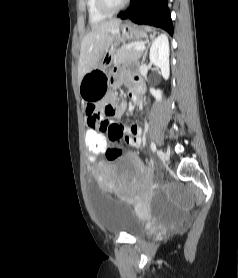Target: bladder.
Here are the masks:
<instances>
[{
    "instance_id": "bladder-1",
    "label": "bladder",
    "mask_w": 238,
    "mask_h": 278,
    "mask_svg": "<svg viewBox=\"0 0 238 278\" xmlns=\"http://www.w3.org/2000/svg\"><path fill=\"white\" fill-rule=\"evenodd\" d=\"M92 205L100 227L106 233L127 234L142 237L148 231L146 222L141 219L130 203L119 204L118 198L101 192V186L96 181H88Z\"/></svg>"
}]
</instances>
